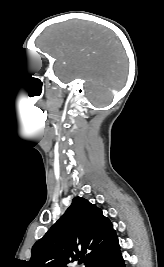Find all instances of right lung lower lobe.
<instances>
[{"label":"right lung lower lobe","instance_id":"obj_1","mask_svg":"<svg viewBox=\"0 0 164 267\" xmlns=\"http://www.w3.org/2000/svg\"><path fill=\"white\" fill-rule=\"evenodd\" d=\"M92 267H125L120 248L98 258Z\"/></svg>","mask_w":164,"mask_h":267}]
</instances>
